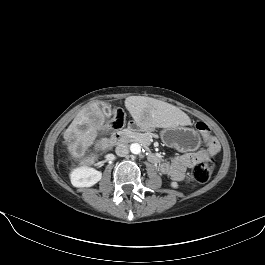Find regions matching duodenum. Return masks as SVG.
<instances>
[{
    "label": "duodenum",
    "instance_id": "1",
    "mask_svg": "<svg viewBox=\"0 0 265 265\" xmlns=\"http://www.w3.org/2000/svg\"><path fill=\"white\" fill-rule=\"evenodd\" d=\"M128 135V132L126 131H120V132H115L112 134L111 136V142L113 144H118L121 141H123ZM139 140H141L140 137H137ZM149 159L153 162V163H160V158L152 151L149 152Z\"/></svg>",
    "mask_w": 265,
    "mask_h": 265
}]
</instances>
